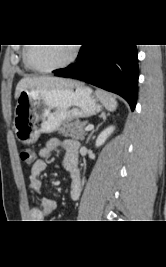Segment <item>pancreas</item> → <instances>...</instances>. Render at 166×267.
Returning <instances> with one entry per match:
<instances>
[{
	"label": "pancreas",
	"mask_w": 166,
	"mask_h": 267,
	"mask_svg": "<svg viewBox=\"0 0 166 267\" xmlns=\"http://www.w3.org/2000/svg\"><path fill=\"white\" fill-rule=\"evenodd\" d=\"M87 122H67L63 124L59 129L58 133L64 137H72L83 140L86 136L85 126Z\"/></svg>",
	"instance_id": "obj_1"
}]
</instances>
